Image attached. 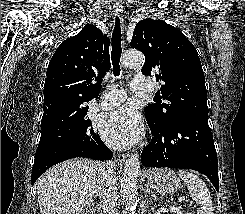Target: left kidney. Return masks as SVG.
Instances as JSON below:
<instances>
[{
    "label": "left kidney",
    "mask_w": 245,
    "mask_h": 214,
    "mask_svg": "<svg viewBox=\"0 0 245 214\" xmlns=\"http://www.w3.org/2000/svg\"><path fill=\"white\" fill-rule=\"evenodd\" d=\"M170 213L171 214H182L181 210L178 207H170Z\"/></svg>",
    "instance_id": "1"
}]
</instances>
